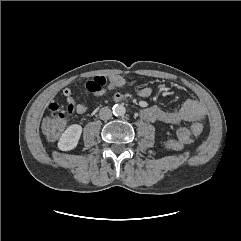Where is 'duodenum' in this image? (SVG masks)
<instances>
[{
  "label": "duodenum",
  "instance_id": "410a0bca",
  "mask_svg": "<svg viewBox=\"0 0 241 241\" xmlns=\"http://www.w3.org/2000/svg\"><path fill=\"white\" fill-rule=\"evenodd\" d=\"M115 101H121L122 100V97H120L119 95H117L115 98H114Z\"/></svg>",
  "mask_w": 241,
  "mask_h": 241
}]
</instances>
